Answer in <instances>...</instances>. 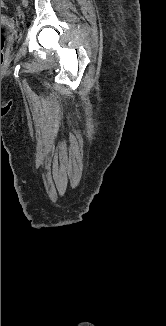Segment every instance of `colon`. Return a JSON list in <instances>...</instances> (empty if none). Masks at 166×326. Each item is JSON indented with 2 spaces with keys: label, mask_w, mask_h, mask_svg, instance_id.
Returning <instances> with one entry per match:
<instances>
[{
  "label": "colon",
  "mask_w": 166,
  "mask_h": 326,
  "mask_svg": "<svg viewBox=\"0 0 166 326\" xmlns=\"http://www.w3.org/2000/svg\"><path fill=\"white\" fill-rule=\"evenodd\" d=\"M3 6H4V3L1 1V7H3ZM4 44H5V36L1 32V65L3 63V48H4Z\"/></svg>",
  "instance_id": "1"
}]
</instances>
